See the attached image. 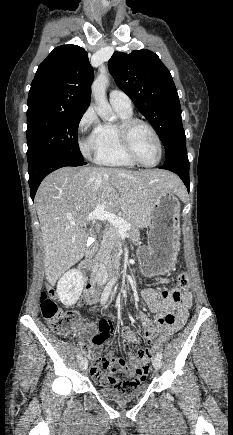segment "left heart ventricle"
Wrapping results in <instances>:
<instances>
[{
  "label": "left heart ventricle",
  "mask_w": 233,
  "mask_h": 435,
  "mask_svg": "<svg viewBox=\"0 0 233 435\" xmlns=\"http://www.w3.org/2000/svg\"><path fill=\"white\" fill-rule=\"evenodd\" d=\"M132 144L138 158L145 164L157 161L159 152L151 132L143 125H137L132 131Z\"/></svg>",
  "instance_id": "obj_1"
}]
</instances>
